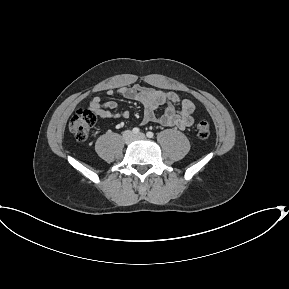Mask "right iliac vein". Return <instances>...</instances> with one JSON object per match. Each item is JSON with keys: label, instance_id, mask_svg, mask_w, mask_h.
Segmentation results:
<instances>
[{"label": "right iliac vein", "instance_id": "right-iliac-vein-1", "mask_svg": "<svg viewBox=\"0 0 289 289\" xmlns=\"http://www.w3.org/2000/svg\"><path fill=\"white\" fill-rule=\"evenodd\" d=\"M123 139L125 143L129 144L134 140V135L131 131L127 130L123 133Z\"/></svg>", "mask_w": 289, "mask_h": 289}]
</instances>
